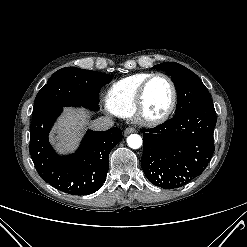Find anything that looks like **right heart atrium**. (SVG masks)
<instances>
[{"label": "right heart atrium", "mask_w": 247, "mask_h": 247, "mask_svg": "<svg viewBox=\"0 0 247 247\" xmlns=\"http://www.w3.org/2000/svg\"><path fill=\"white\" fill-rule=\"evenodd\" d=\"M108 111L111 112V113H113L109 108H108Z\"/></svg>", "instance_id": "1"}]
</instances>
